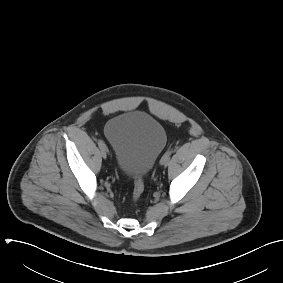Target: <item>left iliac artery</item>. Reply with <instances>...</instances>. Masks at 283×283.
Instances as JSON below:
<instances>
[{
  "label": "left iliac artery",
  "instance_id": "obj_1",
  "mask_svg": "<svg viewBox=\"0 0 283 283\" xmlns=\"http://www.w3.org/2000/svg\"><path fill=\"white\" fill-rule=\"evenodd\" d=\"M172 152H173V149L168 150V151L163 155V157L161 158V161L169 163V161H170V156H171Z\"/></svg>",
  "mask_w": 283,
  "mask_h": 283
}]
</instances>
